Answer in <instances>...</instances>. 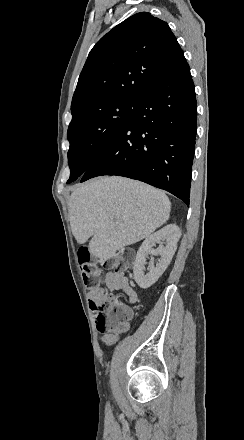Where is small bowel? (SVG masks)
<instances>
[{
  "mask_svg": "<svg viewBox=\"0 0 244 440\" xmlns=\"http://www.w3.org/2000/svg\"><path fill=\"white\" fill-rule=\"evenodd\" d=\"M105 287H98L90 292V298L98 299L105 295L107 291H123L127 296L128 303H134L137 299L136 293L131 289L128 281L123 273L108 272L104 278ZM119 338H113L112 335L104 333L101 341L105 345H112L118 341Z\"/></svg>",
  "mask_w": 244,
  "mask_h": 440,
  "instance_id": "c3829d8e",
  "label": "small bowel"
}]
</instances>
